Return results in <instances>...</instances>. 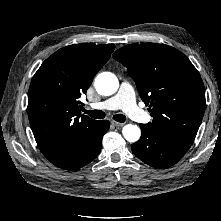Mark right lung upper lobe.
<instances>
[{"label":"right lung upper lobe","mask_w":221,"mask_h":221,"mask_svg":"<svg viewBox=\"0 0 221 221\" xmlns=\"http://www.w3.org/2000/svg\"><path fill=\"white\" fill-rule=\"evenodd\" d=\"M114 48V44L66 46L47 58L33 76L28 117L47 159L79 155L84 134L96 122L81 114L79 97L86 93Z\"/></svg>","instance_id":"1"}]
</instances>
